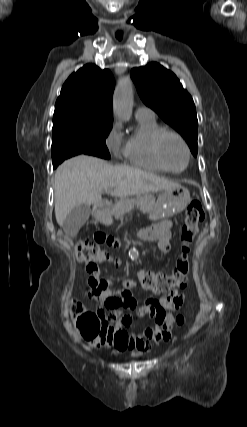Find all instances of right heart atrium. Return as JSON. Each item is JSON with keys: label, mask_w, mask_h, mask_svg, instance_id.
<instances>
[{"label": "right heart atrium", "mask_w": 247, "mask_h": 427, "mask_svg": "<svg viewBox=\"0 0 247 427\" xmlns=\"http://www.w3.org/2000/svg\"><path fill=\"white\" fill-rule=\"evenodd\" d=\"M105 143L107 148L114 154H118L121 150L122 136L121 125L115 122L106 135Z\"/></svg>", "instance_id": "d8ad5b80"}]
</instances>
